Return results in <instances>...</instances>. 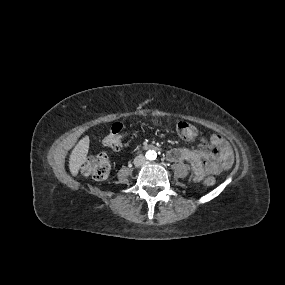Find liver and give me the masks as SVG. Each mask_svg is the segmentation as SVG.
I'll return each mask as SVG.
<instances>
[{
	"label": "liver",
	"mask_w": 285,
	"mask_h": 285,
	"mask_svg": "<svg viewBox=\"0 0 285 285\" xmlns=\"http://www.w3.org/2000/svg\"><path fill=\"white\" fill-rule=\"evenodd\" d=\"M90 140L88 136L83 137L74 147L69 159V169L72 176H77L80 167L84 164L89 151Z\"/></svg>",
	"instance_id": "6515ba94"
}]
</instances>
